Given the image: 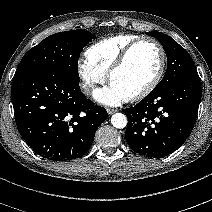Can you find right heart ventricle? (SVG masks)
I'll list each match as a JSON object with an SVG mask.
<instances>
[{"label":"right heart ventricle","instance_id":"right-heart-ventricle-1","mask_svg":"<svg viewBox=\"0 0 212 212\" xmlns=\"http://www.w3.org/2000/svg\"><path fill=\"white\" fill-rule=\"evenodd\" d=\"M139 36L134 34H118L102 39L86 50V58L96 68L107 74L122 51Z\"/></svg>","mask_w":212,"mask_h":212}]
</instances>
